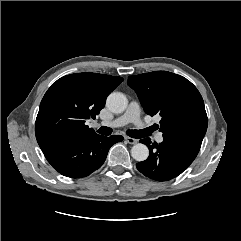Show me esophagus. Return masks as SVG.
Listing matches in <instances>:
<instances>
[{
  "instance_id": "obj_1",
  "label": "esophagus",
  "mask_w": 241,
  "mask_h": 241,
  "mask_svg": "<svg viewBox=\"0 0 241 241\" xmlns=\"http://www.w3.org/2000/svg\"><path fill=\"white\" fill-rule=\"evenodd\" d=\"M125 140L129 143V144H136L138 142L137 139L131 138V137H125Z\"/></svg>"
}]
</instances>
